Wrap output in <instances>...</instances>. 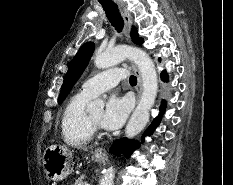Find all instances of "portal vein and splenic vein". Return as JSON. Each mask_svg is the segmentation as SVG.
Wrapping results in <instances>:
<instances>
[{
  "label": "portal vein and splenic vein",
  "mask_w": 233,
  "mask_h": 185,
  "mask_svg": "<svg viewBox=\"0 0 233 185\" xmlns=\"http://www.w3.org/2000/svg\"><path fill=\"white\" fill-rule=\"evenodd\" d=\"M84 185H89L88 183H85Z\"/></svg>",
  "instance_id": "1"
}]
</instances>
